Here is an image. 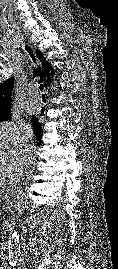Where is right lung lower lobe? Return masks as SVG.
Listing matches in <instances>:
<instances>
[{
    "label": "right lung lower lobe",
    "mask_w": 118,
    "mask_h": 269,
    "mask_svg": "<svg viewBox=\"0 0 118 269\" xmlns=\"http://www.w3.org/2000/svg\"><path fill=\"white\" fill-rule=\"evenodd\" d=\"M34 132H35V130H34ZM35 135H36V133H35ZM41 136H42V134H41V135H36L37 140L39 141V142H38V145L40 144Z\"/></svg>",
    "instance_id": "right-lung-lower-lobe-1"
}]
</instances>
